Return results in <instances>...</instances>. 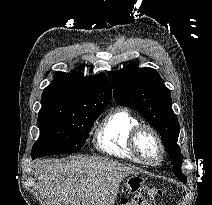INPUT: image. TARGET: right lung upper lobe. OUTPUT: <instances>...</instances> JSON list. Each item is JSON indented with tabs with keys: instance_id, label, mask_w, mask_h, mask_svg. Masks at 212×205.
Here are the masks:
<instances>
[{
	"instance_id": "cb5924a9",
	"label": "right lung upper lobe",
	"mask_w": 212,
	"mask_h": 205,
	"mask_svg": "<svg viewBox=\"0 0 212 205\" xmlns=\"http://www.w3.org/2000/svg\"><path fill=\"white\" fill-rule=\"evenodd\" d=\"M111 99L112 89L104 73L84 77L76 70L71 73L57 71L52 83L42 93L39 113H59L77 106L108 105Z\"/></svg>"
}]
</instances>
